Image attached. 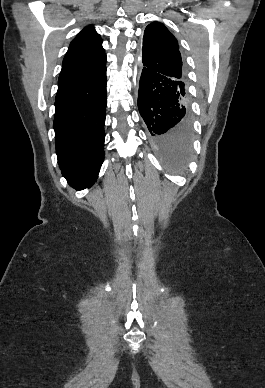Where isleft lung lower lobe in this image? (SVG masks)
<instances>
[{"instance_id": "0a47b994", "label": "left lung lower lobe", "mask_w": 265, "mask_h": 388, "mask_svg": "<svg viewBox=\"0 0 265 388\" xmlns=\"http://www.w3.org/2000/svg\"><path fill=\"white\" fill-rule=\"evenodd\" d=\"M180 82L143 67L138 109L149 141L171 169L184 168L191 147V114Z\"/></svg>"}]
</instances>
